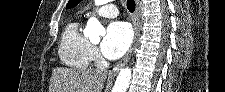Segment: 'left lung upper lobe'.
I'll use <instances>...</instances> for the list:
<instances>
[{
  "label": "left lung upper lobe",
  "instance_id": "obj_1",
  "mask_svg": "<svg viewBox=\"0 0 225 92\" xmlns=\"http://www.w3.org/2000/svg\"><path fill=\"white\" fill-rule=\"evenodd\" d=\"M82 0H69L66 9L72 8L74 6H76L79 2H81Z\"/></svg>",
  "mask_w": 225,
  "mask_h": 92
}]
</instances>
